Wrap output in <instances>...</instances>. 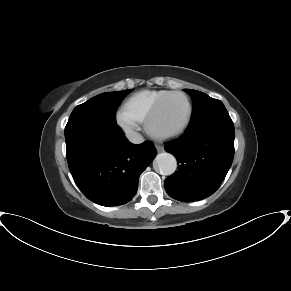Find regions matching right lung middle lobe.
I'll return each instance as SVG.
<instances>
[{"mask_svg": "<svg viewBox=\"0 0 291 291\" xmlns=\"http://www.w3.org/2000/svg\"><path fill=\"white\" fill-rule=\"evenodd\" d=\"M131 91L132 89L99 94L85 103L76 106L69 119L87 117L114 122L115 112L120 101Z\"/></svg>", "mask_w": 291, "mask_h": 291, "instance_id": "1", "label": "right lung middle lobe"}]
</instances>
